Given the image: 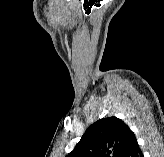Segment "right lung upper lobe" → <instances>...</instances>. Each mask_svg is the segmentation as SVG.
Wrapping results in <instances>:
<instances>
[{"label": "right lung upper lobe", "mask_w": 164, "mask_h": 157, "mask_svg": "<svg viewBox=\"0 0 164 157\" xmlns=\"http://www.w3.org/2000/svg\"><path fill=\"white\" fill-rule=\"evenodd\" d=\"M134 141V133L122 120L103 118L89 126L66 157H123Z\"/></svg>", "instance_id": "cb5924a9"}]
</instances>
